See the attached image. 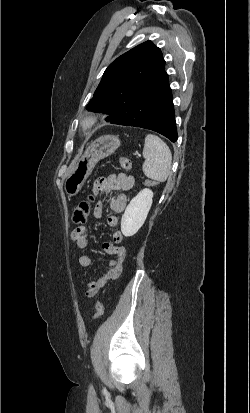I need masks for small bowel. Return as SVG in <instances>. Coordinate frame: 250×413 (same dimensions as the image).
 <instances>
[{
  "label": "small bowel",
  "mask_w": 250,
  "mask_h": 413,
  "mask_svg": "<svg viewBox=\"0 0 250 413\" xmlns=\"http://www.w3.org/2000/svg\"><path fill=\"white\" fill-rule=\"evenodd\" d=\"M134 185V178L131 175L123 173L112 174L107 177H100L95 181L94 189L92 190L93 196H98L99 192L104 195L110 196V207L116 212L120 213L124 210L127 197L125 191L130 190ZM115 192H119L115 195ZM103 203L98 202L94 208L93 215L95 218L102 216ZM107 225L110 227H116L118 225V217L116 215H110L107 218ZM91 235V229L86 226H81L74 229L71 233V238L75 242L78 249H86L89 246V238ZM123 234L120 230H116L112 234V241L105 242L103 249L113 258L108 263V269L105 273L100 275L96 280L91 281L88 284L86 290L87 297L95 296L98 291L104 287L109 281L117 279L123 267V262L126 257V249L122 245ZM76 262L80 267H88L91 265V258L88 255H75Z\"/></svg>",
  "instance_id": "obj_1"
}]
</instances>
